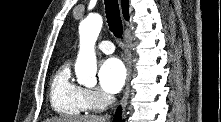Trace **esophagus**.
Segmentation results:
<instances>
[{
	"label": "esophagus",
	"mask_w": 221,
	"mask_h": 122,
	"mask_svg": "<svg viewBox=\"0 0 221 122\" xmlns=\"http://www.w3.org/2000/svg\"><path fill=\"white\" fill-rule=\"evenodd\" d=\"M125 53H126L127 79H126L124 94H123V97L120 101V105L123 108L126 107L127 102H128L129 93H130V80H131V73H132L129 51L126 49Z\"/></svg>",
	"instance_id": "34e87169"
}]
</instances>
